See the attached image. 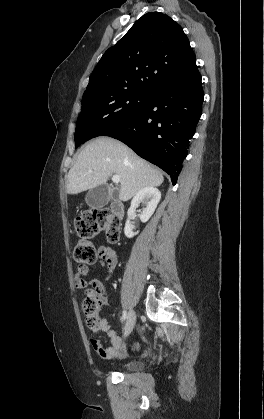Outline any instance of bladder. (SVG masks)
Returning <instances> with one entry per match:
<instances>
[{"instance_id":"1","label":"bladder","mask_w":264,"mask_h":419,"mask_svg":"<svg viewBox=\"0 0 264 419\" xmlns=\"http://www.w3.org/2000/svg\"><path fill=\"white\" fill-rule=\"evenodd\" d=\"M142 367H143L142 362L138 360H130L123 363L120 366V370L123 372H133V371L140 370Z\"/></svg>"}]
</instances>
